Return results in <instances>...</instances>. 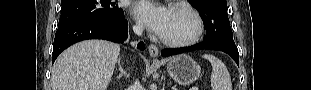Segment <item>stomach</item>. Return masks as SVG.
Here are the masks:
<instances>
[{
  "instance_id": "stomach-1",
  "label": "stomach",
  "mask_w": 311,
  "mask_h": 90,
  "mask_svg": "<svg viewBox=\"0 0 311 90\" xmlns=\"http://www.w3.org/2000/svg\"><path fill=\"white\" fill-rule=\"evenodd\" d=\"M167 71L171 78L181 85L193 83L201 74L200 66L186 54L172 57L168 61Z\"/></svg>"
}]
</instances>
